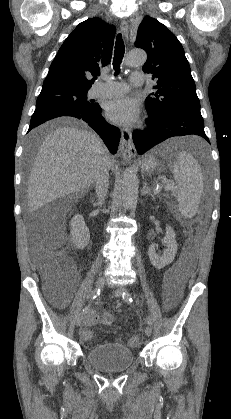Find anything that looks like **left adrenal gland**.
<instances>
[{
    "label": "left adrenal gland",
    "mask_w": 231,
    "mask_h": 419,
    "mask_svg": "<svg viewBox=\"0 0 231 419\" xmlns=\"http://www.w3.org/2000/svg\"><path fill=\"white\" fill-rule=\"evenodd\" d=\"M141 194L144 196L146 194H148L149 196H151L152 198L155 197L154 194H152L151 190L148 188L147 183H143V189L141 190Z\"/></svg>",
    "instance_id": "left-adrenal-gland-1"
}]
</instances>
